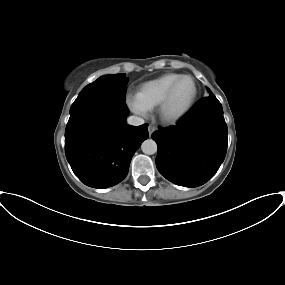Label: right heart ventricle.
Listing matches in <instances>:
<instances>
[{"mask_svg": "<svg viewBox=\"0 0 285 285\" xmlns=\"http://www.w3.org/2000/svg\"><path fill=\"white\" fill-rule=\"evenodd\" d=\"M181 76L166 73L141 84L135 94V102L144 110H152L159 105L170 85Z\"/></svg>", "mask_w": 285, "mask_h": 285, "instance_id": "obj_1", "label": "right heart ventricle"}]
</instances>
